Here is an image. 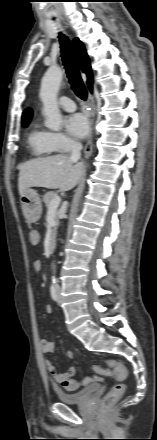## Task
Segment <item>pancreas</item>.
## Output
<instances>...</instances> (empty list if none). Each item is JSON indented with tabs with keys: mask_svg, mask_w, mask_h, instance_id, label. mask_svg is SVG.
<instances>
[{
	"mask_svg": "<svg viewBox=\"0 0 157 440\" xmlns=\"http://www.w3.org/2000/svg\"><path fill=\"white\" fill-rule=\"evenodd\" d=\"M56 197H58V196H57V193H55V192H47L43 196V202L45 203L47 209L49 208V205H50L51 201L53 199H55ZM58 216H59V212L56 211L55 228H54V231H53V237L55 236L56 230H57V226L59 225V217Z\"/></svg>",
	"mask_w": 157,
	"mask_h": 440,
	"instance_id": "obj_1",
	"label": "pancreas"
}]
</instances>
